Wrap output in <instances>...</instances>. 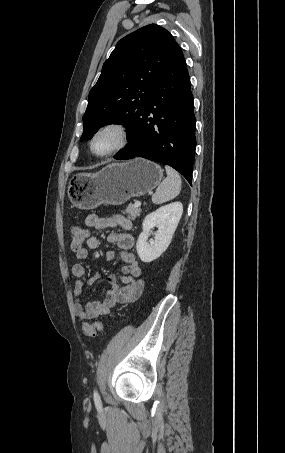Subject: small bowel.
I'll return each mask as SVG.
<instances>
[{"mask_svg": "<svg viewBox=\"0 0 285 453\" xmlns=\"http://www.w3.org/2000/svg\"><path fill=\"white\" fill-rule=\"evenodd\" d=\"M85 226L96 230H105L109 228L119 227L122 232H112L107 236V241L115 244L120 252L119 257L124 263L122 267V275L120 277L122 285H119L115 275H109L107 282L109 289L105 292L102 301H89L85 305L81 303L82 297L86 294L84 277L86 268L81 263H75L71 272L76 278L73 289L74 296V313L78 320L88 321L99 316L106 315L118 304H125L137 300L144 289L145 282L142 278V271L136 260L135 254L132 252L134 247V238L128 233L132 228V222L124 216H98L90 214L85 218ZM87 248H83L76 253V257L84 260L88 257V250L97 249L99 240L93 234H88L86 238ZM117 258V254L113 250L106 252V259L113 261ZM99 274H93L88 285L92 286L99 280Z\"/></svg>", "mask_w": 285, "mask_h": 453, "instance_id": "c3829d8e", "label": "small bowel"}]
</instances>
